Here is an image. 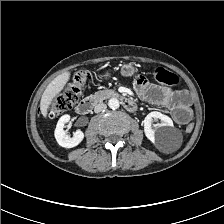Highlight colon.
<instances>
[{"label": "colon", "mask_w": 224, "mask_h": 224, "mask_svg": "<svg viewBox=\"0 0 224 224\" xmlns=\"http://www.w3.org/2000/svg\"><path fill=\"white\" fill-rule=\"evenodd\" d=\"M85 71H78L74 74L71 81L66 87L55 96L49 106L48 114L50 117L58 116L67 110L71 109L78 101L83 87L87 81ZM154 78L161 84L173 86L179 82L178 76L164 67H157L154 70ZM182 118H187L188 113L181 114ZM193 129V124L189 123L186 130L190 132Z\"/></svg>", "instance_id": "1"}]
</instances>
